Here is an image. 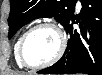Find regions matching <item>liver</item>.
<instances>
[{"label":"liver","instance_id":"1","mask_svg":"<svg viewBox=\"0 0 102 75\" xmlns=\"http://www.w3.org/2000/svg\"><path fill=\"white\" fill-rule=\"evenodd\" d=\"M11 75H24V74H19V73H13Z\"/></svg>","mask_w":102,"mask_h":75}]
</instances>
